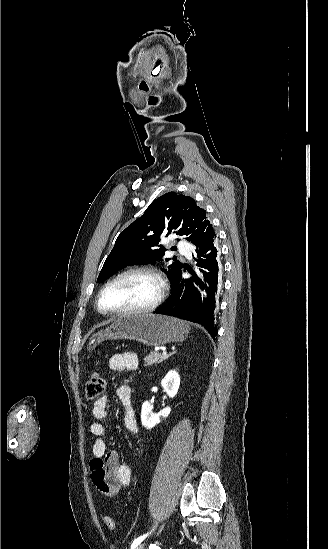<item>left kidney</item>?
<instances>
[{"mask_svg": "<svg viewBox=\"0 0 328 549\" xmlns=\"http://www.w3.org/2000/svg\"><path fill=\"white\" fill-rule=\"evenodd\" d=\"M161 385L167 395H169L170 399H173V397L177 395L180 387V377L177 371H168L166 377L162 379ZM170 413L171 407H165V409H162L159 413H153L151 403H149V401H145L141 409L142 425L143 427H146V429H152V427L158 425L162 419H166Z\"/></svg>", "mask_w": 328, "mask_h": 549, "instance_id": "left-kidney-1", "label": "left kidney"}]
</instances>
